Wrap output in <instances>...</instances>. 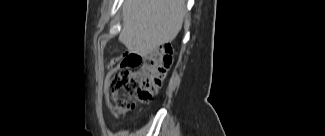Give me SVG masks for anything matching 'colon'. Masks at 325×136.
Returning <instances> with one entry per match:
<instances>
[{"mask_svg": "<svg viewBox=\"0 0 325 136\" xmlns=\"http://www.w3.org/2000/svg\"><path fill=\"white\" fill-rule=\"evenodd\" d=\"M172 63L170 46L163 45L153 50L113 96L116 110L127 113L137 103H147L163 84Z\"/></svg>", "mask_w": 325, "mask_h": 136, "instance_id": "1", "label": "colon"}]
</instances>
